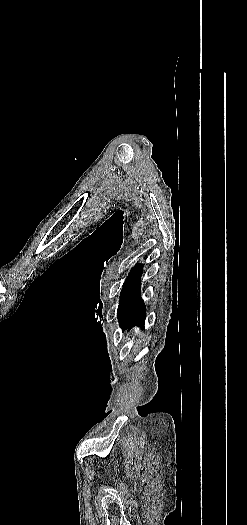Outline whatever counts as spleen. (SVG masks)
Listing matches in <instances>:
<instances>
[{
    "label": "spleen",
    "mask_w": 247,
    "mask_h": 525,
    "mask_svg": "<svg viewBox=\"0 0 247 525\" xmlns=\"http://www.w3.org/2000/svg\"><path fill=\"white\" fill-rule=\"evenodd\" d=\"M135 333H139V329H135ZM138 343H139V341H138Z\"/></svg>",
    "instance_id": "obj_1"
}]
</instances>
